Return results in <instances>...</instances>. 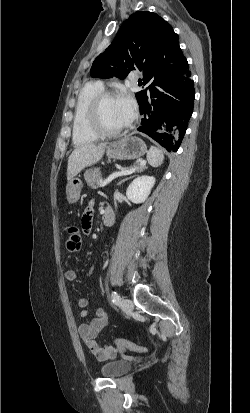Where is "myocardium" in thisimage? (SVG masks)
<instances>
[{"mask_svg":"<svg viewBox=\"0 0 250 413\" xmlns=\"http://www.w3.org/2000/svg\"><path fill=\"white\" fill-rule=\"evenodd\" d=\"M115 93L109 90H102L96 94L91 100L88 108V123L91 130L98 137H116L124 133L129 125L124 126L123 128L110 130L105 127L102 119L101 108L102 104L106 99L115 98Z\"/></svg>","mask_w":250,"mask_h":413,"instance_id":"f54148a6","label":"myocardium"}]
</instances>
